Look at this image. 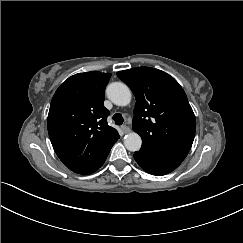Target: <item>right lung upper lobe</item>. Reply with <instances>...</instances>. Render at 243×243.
Masks as SVG:
<instances>
[{"label": "right lung upper lobe", "mask_w": 243, "mask_h": 243, "mask_svg": "<svg viewBox=\"0 0 243 243\" xmlns=\"http://www.w3.org/2000/svg\"><path fill=\"white\" fill-rule=\"evenodd\" d=\"M111 74L90 71L66 79L55 92L48 133L63 164L75 173L91 170L108 155L119 135L107 124L104 91Z\"/></svg>", "instance_id": "1"}]
</instances>
